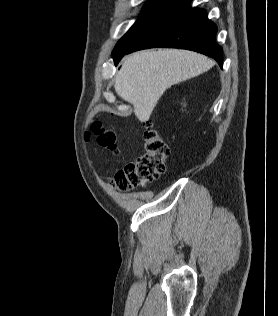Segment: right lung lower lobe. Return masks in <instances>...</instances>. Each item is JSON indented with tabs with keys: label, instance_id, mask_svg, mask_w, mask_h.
<instances>
[{
	"label": "right lung lower lobe",
	"instance_id": "obj_1",
	"mask_svg": "<svg viewBox=\"0 0 278 316\" xmlns=\"http://www.w3.org/2000/svg\"><path fill=\"white\" fill-rule=\"evenodd\" d=\"M191 0L170 1L156 21L127 50L114 56L117 63L128 53L154 47L193 50L214 58L223 66L222 48L216 43L217 27L204 9L190 7Z\"/></svg>",
	"mask_w": 278,
	"mask_h": 316
}]
</instances>
